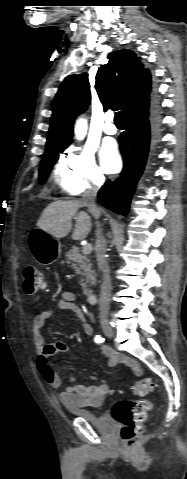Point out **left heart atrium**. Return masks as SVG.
<instances>
[{"label":"left heart atrium","mask_w":187,"mask_h":479,"mask_svg":"<svg viewBox=\"0 0 187 479\" xmlns=\"http://www.w3.org/2000/svg\"><path fill=\"white\" fill-rule=\"evenodd\" d=\"M102 164L106 171L110 173L117 172L121 167V159L115 146L107 145L102 149Z\"/></svg>","instance_id":"left-heart-atrium-1"}]
</instances>
